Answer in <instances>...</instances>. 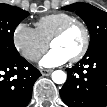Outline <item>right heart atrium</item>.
Listing matches in <instances>:
<instances>
[{
    "label": "right heart atrium",
    "mask_w": 107,
    "mask_h": 107,
    "mask_svg": "<svg viewBox=\"0 0 107 107\" xmlns=\"http://www.w3.org/2000/svg\"><path fill=\"white\" fill-rule=\"evenodd\" d=\"M12 40L15 49L26 60L36 62L48 48L36 30L26 23H19L13 30Z\"/></svg>",
    "instance_id": "obj_1"
}]
</instances>
